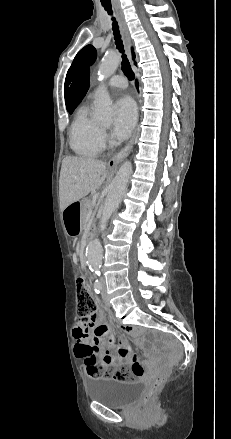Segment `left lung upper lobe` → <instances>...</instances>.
<instances>
[{
	"label": "left lung upper lobe",
	"instance_id": "5c2ea615",
	"mask_svg": "<svg viewBox=\"0 0 231 439\" xmlns=\"http://www.w3.org/2000/svg\"><path fill=\"white\" fill-rule=\"evenodd\" d=\"M96 55V49L92 45H87L75 56L73 63L67 72L65 80L64 95L67 109H69L72 91L74 90L80 75L85 68L94 63Z\"/></svg>",
	"mask_w": 231,
	"mask_h": 439
}]
</instances>
